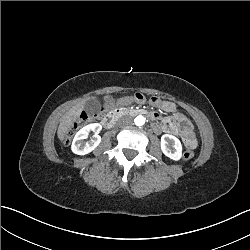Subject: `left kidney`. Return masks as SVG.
Returning a JSON list of instances; mask_svg holds the SVG:
<instances>
[{
  "instance_id": "obj_1",
  "label": "left kidney",
  "mask_w": 250,
  "mask_h": 250,
  "mask_svg": "<svg viewBox=\"0 0 250 250\" xmlns=\"http://www.w3.org/2000/svg\"><path fill=\"white\" fill-rule=\"evenodd\" d=\"M161 148L164 154L172 159L177 160L181 156V144L173 135L165 134L162 136Z\"/></svg>"
}]
</instances>
